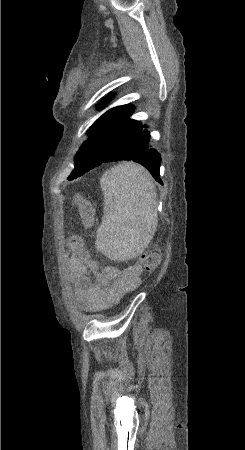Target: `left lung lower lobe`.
Instances as JSON below:
<instances>
[{"mask_svg":"<svg viewBox=\"0 0 245 450\" xmlns=\"http://www.w3.org/2000/svg\"><path fill=\"white\" fill-rule=\"evenodd\" d=\"M144 127L145 126H142L140 132L121 148L109 149L105 146L94 147L84 145V147H82L79 152L88 160L94 158L95 155V157H97L102 153L100 162L95 166H98L103 162H112L118 160H133L139 162L149 170V172L157 182L162 184L159 174L161 157L159 152L156 149L152 148V146L150 145V133L146 129H144ZM85 172L79 173L78 175L71 177L68 180L75 179L83 175Z\"/></svg>","mask_w":245,"mask_h":450,"instance_id":"obj_1","label":"left lung lower lobe"}]
</instances>
